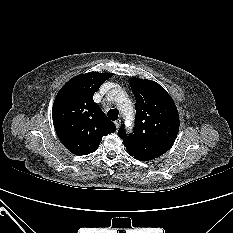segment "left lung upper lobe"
<instances>
[{
  "instance_id": "1",
  "label": "left lung upper lobe",
  "mask_w": 233,
  "mask_h": 233,
  "mask_svg": "<svg viewBox=\"0 0 233 233\" xmlns=\"http://www.w3.org/2000/svg\"><path fill=\"white\" fill-rule=\"evenodd\" d=\"M130 86L136 99V124L130 136L125 134L124 126L118 135L132 156L149 161L173 145L179 131V114L171 96L158 83L135 78Z\"/></svg>"
}]
</instances>
